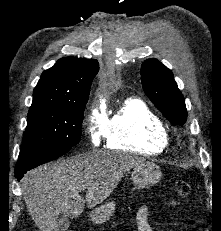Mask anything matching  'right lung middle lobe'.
<instances>
[{"label": "right lung middle lobe", "mask_w": 221, "mask_h": 231, "mask_svg": "<svg viewBox=\"0 0 221 231\" xmlns=\"http://www.w3.org/2000/svg\"><path fill=\"white\" fill-rule=\"evenodd\" d=\"M86 100L31 106L16 165L47 153L69 151L80 141Z\"/></svg>", "instance_id": "dd1d6c3e"}]
</instances>
